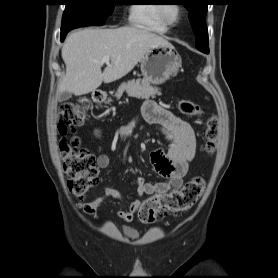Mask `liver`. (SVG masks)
<instances>
[{
  "label": "liver",
  "mask_w": 278,
  "mask_h": 278,
  "mask_svg": "<svg viewBox=\"0 0 278 278\" xmlns=\"http://www.w3.org/2000/svg\"><path fill=\"white\" fill-rule=\"evenodd\" d=\"M171 45L166 39L137 27L84 29L72 33L62 48L66 74L58 94L85 95L102 82L111 83L127 75L144 55L155 46ZM110 63L101 71L103 57Z\"/></svg>",
  "instance_id": "liver-1"
}]
</instances>
